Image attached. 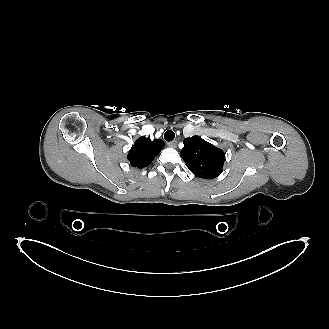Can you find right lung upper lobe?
I'll use <instances>...</instances> for the list:
<instances>
[{
  "instance_id": "cb5924a9",
  "label": "right lung upper lobe",
  "mask_w": 329,
  "mask_h": 329,
  "mask_svg": "<svg viewBox=\"0 0 329 329\" xmlns=\"http://www.w3.org/2000/svg\"><path fill=\"white\" fill-rule=\"evenodd\" d=\"M164 142L141 136L129 151L128 160L133 167L143 168L148 166L155 156L162 150Z\"/></svg>"
}]
</instances>
